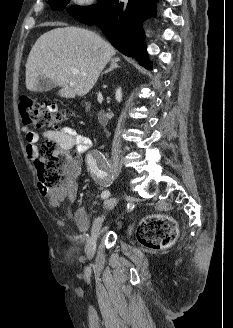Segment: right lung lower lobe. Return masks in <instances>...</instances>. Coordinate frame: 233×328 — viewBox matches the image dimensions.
Instances as JSON below:
<instances>
[{
    "instance_id": "98d812e1",
    "label": "right lung lower lobe",
    "mask_w": 233,
    "mask_h": 328,
    "mask_svg": "<svg viewBox=\"0 0 233 328\" xmlns=\"http://www.w3.org/2000/svg\"><path fill=\"white\" fill-rule=\"evenodd\" d=\"M154 12V0H100L85 11L71 14L82 23L99 25L115 48L134 57L146 69H152L142 22Z\"/></svg>"
}]
</instances>
